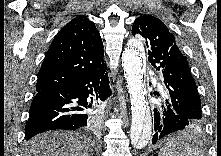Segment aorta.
Returning a JSON list of instances; mask_svg holds the SVG:
<instances>
[{
    "label": "aorta",
    "instance_id": "aorta-1",
    "mask_svg": "<svg viewBox=\"0 0 221 156\" xmlns=\"http://www.w3.org/2000/svg\"><path fill=\"white\" fill-rule=\"evenodd\" d=\"M145 55L139 39L130 40L122 54V66L131 100L130 139L134 147H145L151 138L152 120L148 114L145 89Z\"/></svg>",
    "mask_w": 221,
    "mask_h": 156
}]
</instances>
